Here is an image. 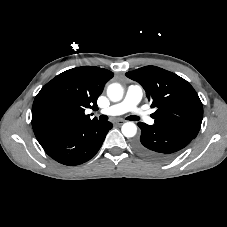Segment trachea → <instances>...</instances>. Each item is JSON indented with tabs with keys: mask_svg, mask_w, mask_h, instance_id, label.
Listing matches in <instances>:
<instances>
[{
	"mask_svg": "<svg viewBox=\"0 0 227 227\" xmlns=\"http://www.w3.org/2000/svg\"><path fill=\"white\" fill-rule=\"evenodd\" d=\"M100 121H107L108 120V117L106 115H101L99 117ZM127 120H131V121H138L139 118L137 116H129L127 117Z\"/></svg>",
	"mask_w": 227,
	"mask_h": 227,
	"instance_id": "1",
	"label": "trachea"
}]
</instances>
